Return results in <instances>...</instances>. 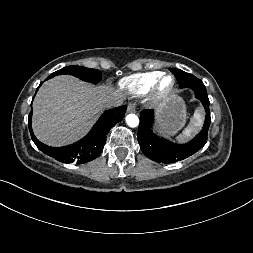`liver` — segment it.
Listing matches in <instances>:
<instances>
[{"instance_id": "1", "label": "liver", "mask_w": 253, "mask_h": 253, "mask_svg": "<svg viewBox=\"0 0 253 253\" xmlns=\"http://www.w3.org/2000/svg\"><path fill=\"white\" fill-rule=\"evenodd\" d=\"M125 95L110 86H93L69 75L56 76L41 86L34 99V134L53 147L73 143L87 133L109 101H123Z\"/></svg>"}]
</instances>
